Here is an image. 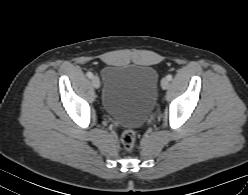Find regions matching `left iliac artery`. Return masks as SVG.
I'll list each match as a JSON object with an SVG mask.
<instances>
[{
	"label": "left iliac artery",
	"instance_id": "obj_1",
	"mask_svg": "<svg viewBox=\"0 0 248 195\" xmlns=\"http://www.w3.org/2000/svg\"><path fill=\"white\" fill-rule=\"evenodd\" d=\"M172 75L171 74H169V75H167V79L170 81V80H172Z\"/></svg>",
	"mask_w": 248,
	"mask_h": 195
}]
</instances>
